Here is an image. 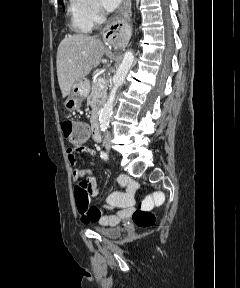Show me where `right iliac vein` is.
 Here are the masks:
<instances>
[{
	"mask_svg": "<svg viewBox=\"0 0 240 288\" xmlns=\"http://www.w3.org/2000/svg\"><path fill=\"white\" fill-rule=\"evenodd\" d=\"M106 149H108V150H109V149H110V145H106Z\"/></svg>",
	"mask_w": 240,
	"mask_h": 288,
	"instance_id": "63e3f726",
	"label": "right iliac vein"
}]
</instances>
